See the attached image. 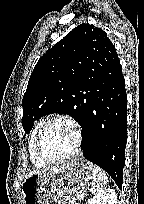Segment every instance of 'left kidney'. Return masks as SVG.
I'll return each instance as SVG.
<instances>
[{"mask_svg":"<svg viewBox=\"0 0 144 204\" xmlns=\"http://www.w3.org/2000/svg\"><path fill=\"white\" fill-rule=\"evenodd\" d=\"M117 197L114 189H106L99 195L88 200L87 204H116Z\"/></svg>","mask_w":144,"mask_h":204,"instance_id":"5707ae66","label":"left kidney"}]
</instances>
